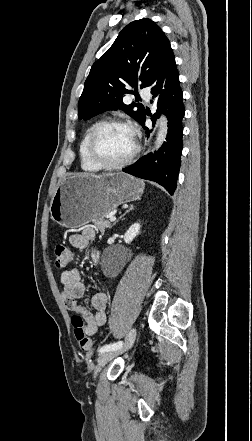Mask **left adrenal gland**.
Masks as SVG:
<instances>
[{
    "label": "left adrenal gland",
    "instance_id": "1",
    "mask_svg": "<svg viewBox=\"0 0 252 441\" xmlns=\"http://www.w3.org/2000/svg\"><path fill=\"white\" fill-rule=\"evenodd\" d=\"M134 209V206L133 205H131L130 206V208L128 209V210H126V212L124 213V214H122L119 218H118V220L113 224V226L122 218V217H124L127 213H129L131 210H133Z\"/></svg>",
    "mask_w": 252,
    "mask_h": 441
}]
</instances>
